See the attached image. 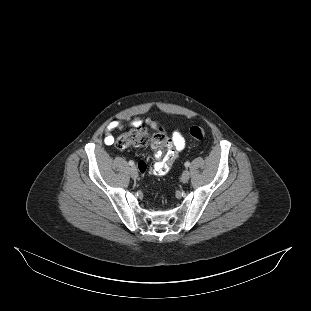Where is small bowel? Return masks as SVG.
Wrapping results in <instances>:
<instances>
[{
    "instance_id": "obj_1",
    "label": "small bowel",
    "mask_w": 311,
    "mask_h": 311,
    "mask_svg": "<svg viewBox=\"0 0 311 311\" xmlns=\"http://www.w3.org/2000/svg\"><path fill=\"white\" fill-rule=\"evenodd\" d=\"M141 124H142V122L140 119H135L131 122L130 125L132 127H134V126H138ZM147 124L152 128H156V123L152 120H148ZM124 127H125L124 124L119 120H114V121L110 122L108 124V126L106 127V130H105V137H104L105 144H107V145L113 144L114 137H113L112 133L114 131L123 129ZM184 146H185L184 137L181 135V133L178 130L174 131L172 134L171 141H170V149L166 152V154L164 156V160L166 161L167 165H170L171 163H173L176 160L177 153L180 152L181 150H183ZM171 147H173V148H171ZM155 157L156 158L162 157V152L160 150H157L155 152ZM152 171L154 172L153 169H152Z\"/></svg>"
}]
</instances>
